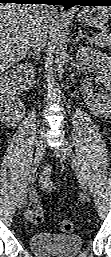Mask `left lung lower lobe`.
I'll use <instances>...</instances> for the list:
<instances>
[{
	"instance_id": "0a47b994",
	"label": "left lung lower lobe",
	"mask_w": 111,
	"mask_h": 257,
	"mask_svg": "<svg viewBox=\"0 0 111 257\" xmlns=\"http://www.w3.org/2000/svg\"><path fill=\"white\" fill-rule=\"evenodd\" d=\"M74 5L81 6H111V0H66L65 8L69 9Z\"/></svg>"
}]
</instances>
